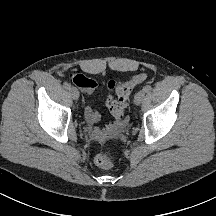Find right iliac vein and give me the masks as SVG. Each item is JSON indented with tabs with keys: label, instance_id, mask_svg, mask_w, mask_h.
<instances>
[{
	"label": "right iliac vein",
	"instance_id": "right-iliac-vein-1",
	"mask_svg": "<svg viewBox=\"0 0 216 216\" xmlns=\"http://www.w3.org/2000/svg\"><path fill=\"white\" fill-rule=\"evenodd\" d=\"M69 92H70V95L72 96V98H73L74 100H77V99L79 98V91H78L77 88L71 87V88L69 89Z\"/></svg>",
	"mask_w": 216,
	"mask_h": 216
}]
</instances>
